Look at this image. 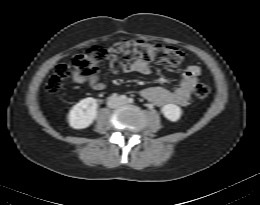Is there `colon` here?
Listing matches in <instances>:
<instances>
[{"instance_id": "1", "label": "colon", "mask_w": 260, "mask_h": 205, "mask_svg": "<svg viewBox=\"0 0 260 205\" xmlns=\"http://www.w3.org/2000/svg\"><path fill=\"white\" fill-rule=\"evenodd\" d=\"M110 50L118 54L124 61L141 59L177 67L186 60V54L175 46L150 44L135 39L114 42L110 46ZM107 51L106 47L97 45L74 56L70 62L58 65L47 81V92L50 94L58 92L65 80L87 79L98 74L99 62L104 58ZM209 93V85L203 82L196 84L194 94L197 98L204 99Z\"/></svg>"}]
</instances>
